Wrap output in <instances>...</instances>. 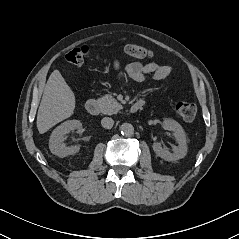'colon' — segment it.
Segmentation results:
<instances>
[{"label": "colon", "instance_id": "1", "mask_svg": "<svg viewBox=\"0 0 239 239\" xmlns=\"http://www.w3.org/2000/svg\"><path fill=\"white\" fill-rule=\"evenodd\" d=\"M126 52L138 59H149L152 52L139 45L130 44L125 48ZM90 49L88 46H81L69 51L66 55V61L73 66H80L89 57ZM175 110L179 117L186 122H193L196 118L197 107L194 103L188 101H179L175 105Z\"/></svg>", "mask_w": 239, "mask_h": 239}]
</instances>
